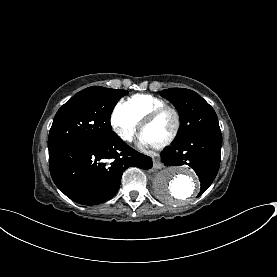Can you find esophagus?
Wrapping results in <instances>:
<instances>
[{
    "label": "esophagus",
    "instance_id": "obj_1",
    "mask_svg": "<svg viewBox=\"0 0 277 277\" xmlns=\"http://www.w3.org/2000/svg\"><path fill=\"white\" fill-rule=\"evenodd\" d=\"M153 168L154 169H162L163 168V164L161 163L159 158L153 159Z\"/></svg>",
    "mask_w": 277,
    "mask_h": 277
}]
</instances>
